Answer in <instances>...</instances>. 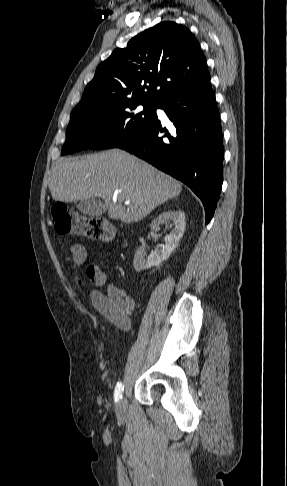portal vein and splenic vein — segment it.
I'll use <instances>...</instances> for the list:
<instances>
[{"mask_svg": "<svg viewBox=\"0 0 287 486\" xmlns=\"http://www.w3.org/2000/svg\"><path fill=\"white\" fill-rule=\"evenodd\" d=\"M129 203H130V201H126V204H129Z\"/></svg>", "mask_w": 287, "mask_h": 486, "instance_id": "18ae733b", "label": "portal vein and splenic vein"}]
</instances>
